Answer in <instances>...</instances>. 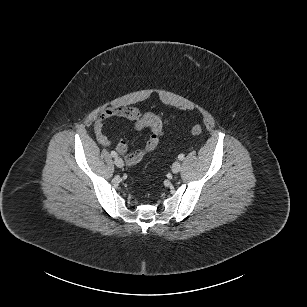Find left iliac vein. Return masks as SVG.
I'll use <instances>...</instances> for the list:
<instances>
[{"label":"left iliac vein","instance_id":"obj_1","mask_svg":"<svg viewBox=\"0 0 307 307\" xmlns=\"http://www.w3.org/2000/svg\"><path fill=\"white\" fill-rule=\"evenodd\" d=\"M181 169V163L179 161H175L172 165V172L178 173Z\"/></svg>","mask_w":307,"mask_h":307}]
</instances>
